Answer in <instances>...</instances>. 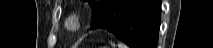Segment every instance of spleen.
Segmentation results:
<instances>
[{
	"label": "spleen",
	"mask_w": 213,
	"mask_h": 48,
	"mask_svg": "<svg viewBox=\"0 0 213 48\" xmlns=\"http://www.w3.org/2000/svg\"><path fill=\"white\" fill-rule=\"evenodd\" d=\"M118 48H128L126 45H124L123 43H118Z\"/></svg>",
	"instance_id": "1"
}]
</instances>
